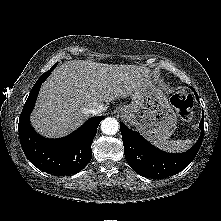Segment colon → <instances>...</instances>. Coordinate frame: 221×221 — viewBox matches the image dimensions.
Returning a JSON list of instances; mask_svg holds the SVG:
<instances>
[{"label": "colon", "instance_id": "colon-1", "mask_svg": "<svg viewBox=\"0 0 221 221\" xmlns=\"http://www.w3.org/2000/svg\"><path fill=\"white\" fill-rule=\"evenodd\" d=\"M171 103L183 120L192 119L193 96L188 91L175 93L171 97Z\"/></svg>", "mask_w": 221, "mask_h": 221}]
</instances>
